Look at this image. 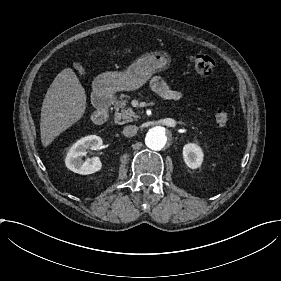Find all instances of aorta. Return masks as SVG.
<instances>
[{"mask_svg":"<svg viewBox=\"0 0 281 281\" xmlns=\"http://www.w3.org/2000/svg\"><path fill=\"white\" fill-rule=\"evenodd\" d=\"M168 142L166 129L161 126L151 128L145 137V143L152 150H161Z\"/></svg>","mask_w":281,"mask_h":281,"instance_id":"aorta-1","label":"aorta"}]
</instances>
